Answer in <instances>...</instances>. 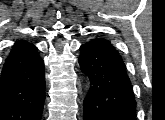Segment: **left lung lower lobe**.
Listing matches in <instances>:
<instances>
[{"instance_id": "1", "label": "left lung lower lobe", "mask_w": 165, "mask_h": 120, "mask_svg": "<svg viewBox=\"0 0 165 120\" xmlns=\"http://www.w3.org/2000/svg\"><path fill=\"white\" fill-rule=\"evenodd\" d=\"M79 64L90 79L83 120H136V101L123 59L103 38L80 47Z\"/></svg>"}]
</instances>
